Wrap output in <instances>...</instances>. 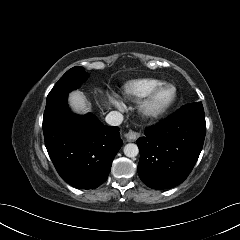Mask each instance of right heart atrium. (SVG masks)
Wrapping results in <instances>:
<instances>
[{"label":"right heart atrium","mask_w":240,"mask_h":240,"mask_svg":"<svg viewBox=\"0 0 240 240\" xmlns=\"http://www.w3.org/2000/svg\"><path fill=\"white\" fill-rule=\"evenodd\" d=\"M111 102L114 106L116 107H119L120 106V103L114 98V97H111Z\"/></svg>","instance_id":"right-heart-atrium-1"}]
</instances>
